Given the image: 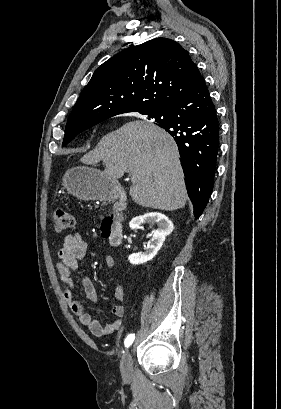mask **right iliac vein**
Listing matches in <instances>:
<instances>
[{
    "label": "right iliac vein",
    "mask_w": 281,
    "mask_h": 409,
    "mask_svg": "<svg viewBox=\"0 0 281 409\" xmlns=\"http://www.w3.org/2000/svg\"><path fill=\"white\" fill-rule=\"evenodd\" d=\"M132 364V358L129 350H126L123 356L122 370L124 373H127L130 370Z\"/></svg>",
    "instance_id": "right-iliac-vein-1"
}]
</instances>
